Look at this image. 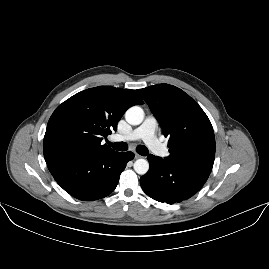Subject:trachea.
I'll use <instances>...</instances> for the list:
<instances>
[{
    "label": "trachea",
    "instance_id": "trachea-1",
    "mask_svg": "<svg viewBox=\"0 0 269 269\" xmlns=\"http://www.w3.org/2000/svg\"><path fill=\"white\" fill-rule=\"evenodd\" d=\"M108 145L113 147L115 150L118 151H126L128 149V144L125 142H115L111 143L107 141ZM136 152L142 156H146L148 154V149L144 145H138L136 147Z\"/></svg>",
    "mask_w": 269,
    "mask_h": 269
}]
</instances>
